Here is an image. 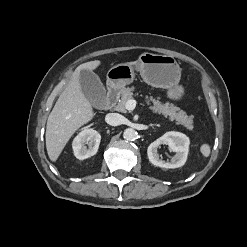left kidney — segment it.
I'll list each match as a JSON object with an SVG mask.
<instances>
[{
  "label": "left kidney",
  "mask_w": 247,
  "mask_h": 247,
  "mask_svg": "<svg viewBox=\"0 0 247 247\" xmlns=\"http://www.w3.org/2000/svg\"><path fill=\"white\" fill-rule=\"evenodd\" d=\"M161 144H166L176 154L172 157L170 162H165L159 158L157 148ZM189 138L180 132L170 131L166 132L163 136L152 142L148 149L147 154L150 162L161 168H178L185 164L189 152Z\"/></svg>",
  "instance_id": "5707ae66"
}]
</instances>
